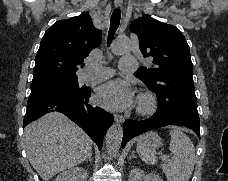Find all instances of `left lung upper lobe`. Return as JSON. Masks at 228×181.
Returning a JSON list of instances; mask_svg holds the SVG:
<instances>
[{
	"label": "left lung upper lobe",
	"mask_w": 228,
	"mask_h": 181,
	"mask_svg": "<svg viewBox=\"0 0 228 181\" xmlns=\"http://www.w3.org/2000/svg\"><path fill=\"white\" fill-rule=\"evenodd\" d=\"M144 57H151L150 67L139 68L134 75L155 92L160 112L171 115L190 112L199 117L193 82L189 45L180 30L150 15L131 24Z\"/></svg>",
	"instance_id": "5c2ea615"
}]
</instances>
